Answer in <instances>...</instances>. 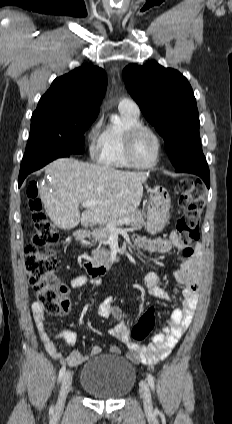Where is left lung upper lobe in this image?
Here are the masks:
<instances>
[{"mask_svg":"<svg viewBox=\"0 0 232 424\" xmlns=\"http://www.w3.org/2000/svg\"><path fill=\"white\" fill-rule=\"evenodd\" d=\"M123 79L145 118L163 137L176 168L200 145L199 115L189 82L177 70L164 68L156 61L128 65Z\"/></svg>","mask_w":232,"mask_h":424,"instance_id":"left-lung-upper-lobe-1","label":"left lung upper lobe"}]
</instances>
